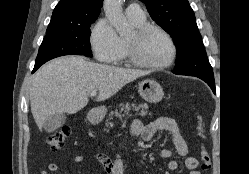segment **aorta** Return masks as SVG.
<instances>
[{"label": "aorta", "instance_id": "762f6f07", "mask_svg": "<svg viewBox=\"0 0 249 174\" xmlns=\"http://www.w3.org/2000/svg\"><path fill=\"white\" fill-rule=\"evenodd\" d=\"M104 11L107 19L120 35L128 31V22L122 10V0H104Z\"/></svg>", "mask_w": 249, "mask_h": 174}]
</instances>
